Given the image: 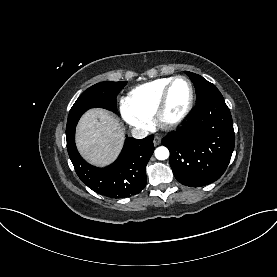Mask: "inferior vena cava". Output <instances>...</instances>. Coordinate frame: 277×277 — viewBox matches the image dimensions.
Masks as SVG:
<instances>
[{
	"label": "inferior vena cava",
	"instance_id": "1",
	"mask_svg": "<svg viewBox=\"0 0 277 277\" xmlns=\"http://www.w3.org/2000/svg\"><path fill=\"white\" fill-rule=\"evenodd\" d=\"M131 134L136 139H143L149 135V132L146 129L134 128L132 129Z\"/></svg>",
	"mask_w": 277,
	"mask_h": 277
}]
</instances>
